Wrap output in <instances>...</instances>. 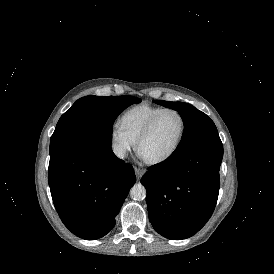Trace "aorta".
<instances>
[{
	"instance_id": "obj_1",
	"label": "aorta",
	"mask_w": 274,
	"mask_h": 274,
	"mask_svg": "<svg viewBox=\"0 0 274 274\" xmlns=\"http://www.w3.org/2000/svg\"><path fill=\"white\" fill-rule=\"evenodd\" d=\"M130 197L133 200H143L146 197V189L141 183H136L130 189Z\"/></svg>"
}]
</instances>
